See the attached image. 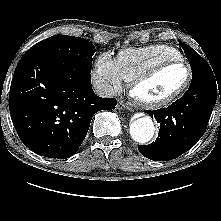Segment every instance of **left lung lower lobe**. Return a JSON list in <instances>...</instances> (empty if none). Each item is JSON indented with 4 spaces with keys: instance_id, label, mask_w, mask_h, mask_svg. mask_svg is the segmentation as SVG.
<instances>
[{
    "instance_id": "left-lung-lower-lobe-1",
    "label": "left lung lower lobe",
    "mask_w": 221,
    "mask_h": 221,
    "mask_svg": "<svg viewBox=\"0 0 221 221\" xmlns=\"http://www.w3.org/2000/svg\"><path fill=\"white\" fill-rule=\"evenodd\" d=\"M219 95L221 101V77L213 75L191 83L167 108L146 111L160 123V129L155 142L138 146L140 153L154 161H167L191 149L205 133Z\"/></svg>"
}]
</instances>
